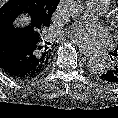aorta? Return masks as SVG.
Wrapping results in <instances>:
<instances>
[{
    "instance_id": "aorta-1",
    "label": "aorta",
    "mask_w": 118,
    "mask_h": 118,
    "mask_svg": "<svg viewBox=\"0 0 118 118\" xmlns=\"http://www.w3.org/2000/svg\"><path fill=\"white\" fill-rule=\"evenodd\" d=\"M63 13L70 18L80 17L85 9L84 0H63ZM90 71L94 74H101L107 69L106 62L101 58H94L89 61Z\"/></svg>"
}]
</instances>
